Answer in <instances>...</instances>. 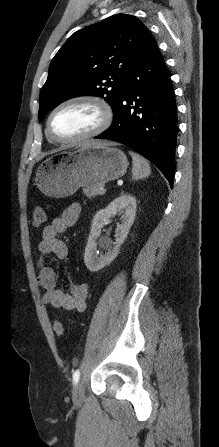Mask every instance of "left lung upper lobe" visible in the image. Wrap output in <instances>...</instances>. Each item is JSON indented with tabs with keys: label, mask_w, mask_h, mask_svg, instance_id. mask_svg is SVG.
Wrapping results in <instances>:
<instances>
[{
	"label": "left lung upper lobe",
	"mask_w": 219,
	"mask_h": 447,
	"mask_svg": "<svg viewBox=\"0 0 219 447\" xmlns=\"http://www.w3.org/2000/svg\"><path fill=\"white\" fill-rule=\"evenodd\" d=\"M135 16L113 15L70 36L60 48L40 92L39 120L77 96H100L117 108L127 75L149 39Z\"/></svg>",
	"instance_id": "left-lung-upper-lobe-1"
}]
</instances>
